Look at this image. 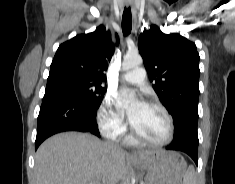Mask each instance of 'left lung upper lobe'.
<instances>
[{
	"label": "left lung upper lobe",
	"instance_id": "1",
	"mask_svg": "<svg viewBox=\"0 0 235 184\" xmlns=\"http://www.w3.org/2000/svg\"><path fill=\"white\" fill-rule=\"evenodd\" d=\"M139 52L153 88L174 120V138L198 139L199 54L180 34H164L151 25L138 40Z\"/></svg>",
	"mask_w": 235,
	"mask_h": 184
}]
</instances>
